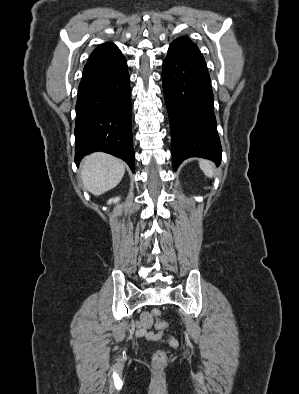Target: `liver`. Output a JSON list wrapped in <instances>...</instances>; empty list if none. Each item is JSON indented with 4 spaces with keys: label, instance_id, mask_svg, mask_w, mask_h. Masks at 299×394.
<instances>
[{
    "label": "liver",
    "instance_id": "1",
    "mask_svg": "<svg viewBox=\"0 0 299 394\" xmlns=\"http://www.w3.org/2000/svg\"><path fill=\"white\" fill-rule=\"evenodd\" d=\"M124 173V162L106 153H93L81 164L83 184L93 195H101L116 187Z\"/></svg>",
    "mask_w": 299,
    "mask_h": 394
}]
</instances>
